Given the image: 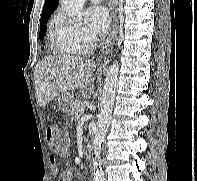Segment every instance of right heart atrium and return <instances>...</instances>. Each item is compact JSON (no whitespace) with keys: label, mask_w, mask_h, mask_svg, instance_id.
Here are the masks:
<instances>
[{"label":"right heart atrium","mask_w":197,"mask_h":181,"mask_svg":"<svg viewBox=\"0 0 197 181\" xmlns=\"http://www.w3.org/2000/svg\"><path fill=\"white\" fill-rule=\"evenodd\" d=\"M60 19L79 52H88L95 46L97 39L85 25L64 17Z\"/></svg>","instance_id":"d8ad5b80"}]
</instances>
